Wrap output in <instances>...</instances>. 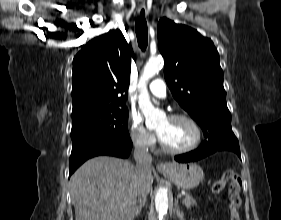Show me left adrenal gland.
I'll return each mask as SVG.
<instances>
[{"instance_id":"obj_1","label":"left adrenal gland","mask_w":281,"mask_h":220,"mask_svg":"<svg viewBox=\"0 0 281 220\" xmlns=\"http://www.w3.org/2000/svg\"><path fill=\"white\" fill-rule=\"evenodd\" d=\"M176 213H177V216L180 217V218L184 216L183 212H181L180 209H179L178 203H177V206H176Z\"/></svg>"}]
</instances>
